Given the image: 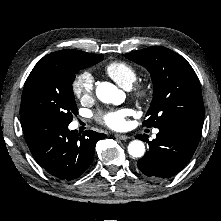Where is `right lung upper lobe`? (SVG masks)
<instances>
[{
    "mask_svg": "<svg viewBox=\"0 0 221 221\" xmlns=\"http://www.w3.org/2000/svg\"><path fill=\"white\" fill-rule=\"evenodd\" d=\"M95 56L97 55L78 50L67 49L48 54L45 57H43L37 64L68 65L75 60L87 57H95Z\"/></svg>",
    "mask_w": 221,
    "mask_h": 221,
    "instance_id": "right-lung-upper-lobe-1",
    "label": "right lung upper lobe"
}]
</instances>
